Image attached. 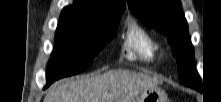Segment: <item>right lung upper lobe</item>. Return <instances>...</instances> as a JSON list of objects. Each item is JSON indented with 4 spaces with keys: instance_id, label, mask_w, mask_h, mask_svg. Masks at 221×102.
I'll use <instances>...</instances> for the list:
<instances>
[{
    "instance_id": "1",
    "label": "right lung upper lobe",
    "mask_w": 221,
    "mask_h": 102,
    "mask_svg": "<svg viewBox=\"0 0 221 102\" xmlns=\"http://www.w3.org/2000/svg\"><path fill=\"white\" fill-rule=\"evenodd\" d=\"M125 3V0H75L62 10L61 17L112 18L122 14Z\"/></svg>"
}]
</instances>
